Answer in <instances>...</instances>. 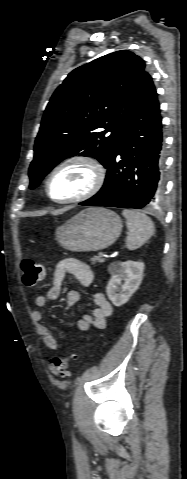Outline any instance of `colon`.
Listing matches in <instances>:
<instances>
[{
    "label": "colon",
    "mask_w": 187,
    "mask_h": 479,
    "mask_svg": "<svg viewBox=\"0 0 187 479\" xmlns=\"http://www.w3.org/2000/svg\"><path fill=\"white\" fill-rule=\"evenodd\" d=\"M23 282L27 286H33L44 278V266L32 259H24L21 264ZM76 351L65 355L54 356L49 361V369L52 374L59 377H68V366L72 360L77 358Z\"/></svg>",
    "instance_id": "5ec220e1"
}]
</instances>
